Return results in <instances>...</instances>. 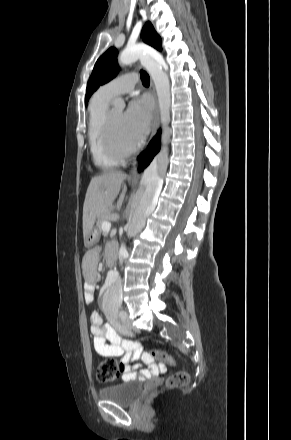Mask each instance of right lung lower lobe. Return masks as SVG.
<instances>
[{"label": "right lung lower lobe", "mask_w": 291, "mask_h": 440, "mask_svg": "<svg viewBox=\"0 0 291 440\" xmlns=\"http://www.w3.org/2000/svg\"><path fill=\"white\" fill-rule=\"evenodd\" d=\"M161 146V131L152 139L149 144L148 149L139 156V161L141 163L139 171L143 170L153 159V157L158 153Z\"/></svg>", "instance_id": "right-lung-lower-lobe-1"}]
</instances>
